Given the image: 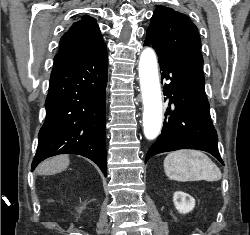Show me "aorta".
Masks as SVG:
<instances>
[{"label":"aorta","mask_w":250,"mask_h":235,"mask_svg":"<svg viewBox=\"0 0 250 235\" xmlns=\"http://www.w3.org/2000/svg\"><path fill=\"white\" fill-rule=\"evenodd\" d=\"M139 77L144 104V135L152 140L158 136L161 129L162 100L156 55L151 48H146L141 53Z\"/></svg>","instance_id":"1"}]
</instances>
